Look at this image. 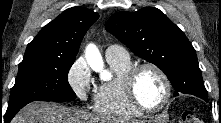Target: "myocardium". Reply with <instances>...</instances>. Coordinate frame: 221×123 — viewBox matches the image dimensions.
<instances>
[{
  "mask_svg": "<svg viewBox=\"0 0 221 123\" xmlns=\"http://www.w3.org/2000/svg\"><path fill=\"white\" fill-rule=\"evenodd\" d=\"M144 69H151L155 71L163 81L165 87V96L162 102L153 108H149L141 104L138 100L136 93H135V80L138 73ZM122 88L124 91V95L128 101V103L140 113H156L161 111L166 105L169 103L171 94H172V87L170 80L166 73L157 65L153 63H140L137 65H133L124 75L122 78Z\"/></svg>",
  "mask_w": 221,
  "mask_h": 123,
  "instance_id": "1",
  "label": "myocardium"
}]
</instances>
